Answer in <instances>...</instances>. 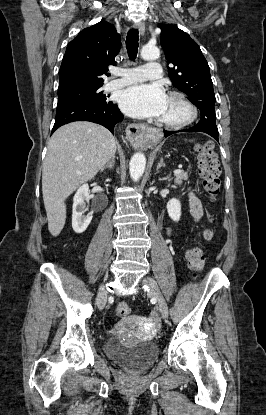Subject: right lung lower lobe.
<instances>
[{
    "label": "right lung lower lobe",
    "instance_id": "98d812e1",
    "mask_svg": "<svg viewBox=\"0 0 266 415\" xmlns=\"http://www.w3.org/2000/svg\"><path fill=\"white\" fill-rule=\"evenodd\" d=\"M124 116L118 106L112 102L97 104L91 102H62L58 103L55 124L52 133L60 126L73 121H90L103 125L113 133L115 124L121 122Z\"/></svg>",
    "mask_w": 266,
    "mask_h": 415
}]
</instances>
